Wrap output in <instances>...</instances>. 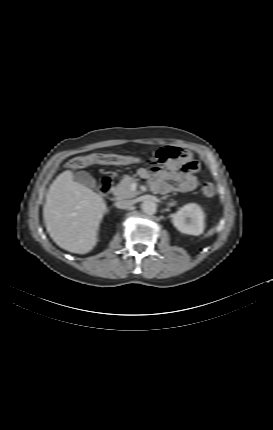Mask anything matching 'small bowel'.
<instances>
[{
  "mask_svg": "<svg viewBox=\"0 0 273 430\" xmlns=\"http://www.w3.org/2000/svg\"><path fill=\"white\" fill-rule=\"evenodd\" d=\"M198 170L199 164L190 152L167 146L154 151L153 166L138 169V174L149 179L152 188L159 193H183L196 188Z\"/></svg>",
  "mask_w": 273,
  "mask_h": 430,
  "instance_id": "c3829d8e",
  "label": "small bowel"
}]
</instances>
